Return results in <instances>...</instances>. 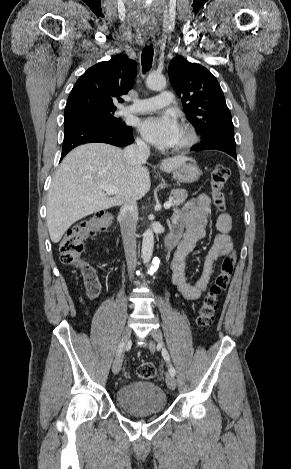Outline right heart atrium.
I'll list each match as a JSON object with an SVG mask.
<instances>
[{
    "label": "right heart atrium",
    "instance_id": "obj_1",
    "mask_svg": "<svg viewBox=\"0 0 291 469\" xmlns=\"http://www.w3.org/2000/svg\"><path fill=\"white\" fill-rule=\"evenodd\" d=\"M137 145H138L140 148H146V143H145L142 139H138V140H137Z\"/></svg>",
    "mask_w": 291,
    "mask_h": 469
}]
</instances>
